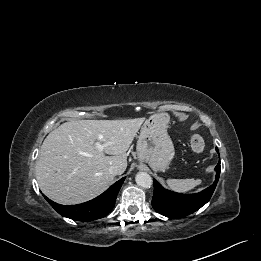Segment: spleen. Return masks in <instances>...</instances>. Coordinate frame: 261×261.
<instances>
[{
    "label": "spleen",
    "instance_id": "obj_1",
    "mask_svg": "<svg viewBox=\"0 0 261 261\" xmlns=\"http://www.w3.org/2000/svg\"><path fill=\"white\" fill-rule=\"evenodd\" d=\"M202 183L201 179H168V187L176 192L185 193Z\"/></svg>",
    "mask_w": 261,
    "mask_h": 261
}]
</instances>
